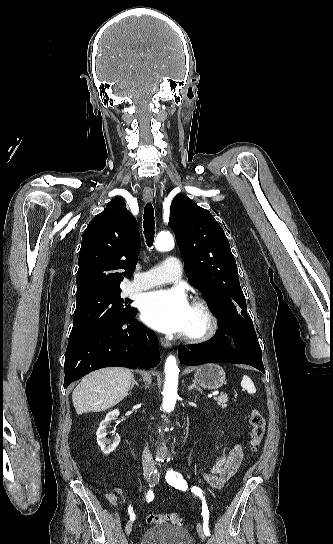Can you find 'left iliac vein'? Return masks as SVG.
Here are the masks:
<instances>
[{
	"label": "left iliac vein",
	"mask_w": 333,
	"mask_h": 544,
	"mask_svg": "<svg viewBox=\"0 0 333 544\" xmlns=\"http://www.w3.org/2000/svg\"><path fill=\"white\" fill-rule=\"evenodd\" d=\"M158 475H159V474L156 473V476H158ZM197 531H198V534H199L200 538H201L203 541H205L206 535H205V533H204V531H203V528H202V526H201L200 523L197 524Z\"/></svg>",
	"instance_id": "4c4485c4"
}]
</instances>
